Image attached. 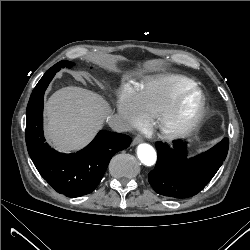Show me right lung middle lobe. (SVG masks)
Returning <instances> with one entry per match:
<instances>
[{
  "label": "right lung middle lobe",
  "instance_id": "right-lung-middle-lobe-1",
  "mask_svg": "<svg viewBox=\"0 0 250 250\" xmlns=\"http://www.w3.org/2000/svg\"><path fill=\"white\" fill-rule=\"evenodd\" d=\"M74 65V63L72 62H68V61H61L57 64H55L53 67H51L50 69H56V71H59L62 67H72Z\"/></svg>",
  "mask_w": 250,
  "mask_h": 250
}]
</instances>
